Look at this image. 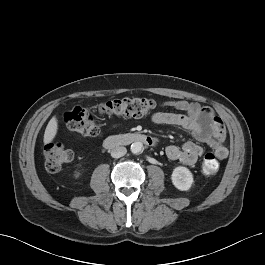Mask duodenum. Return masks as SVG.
<instances>
[{"label":"duodenum","mask_w":265,"mask_h":265,"mask_svg":"<svg viewBox=\"0 0 265 265\" xmlns=\"http://www.w3.org/2000/svg\"><path fill=\"white\" fill-rule=\"evenodd\" d=\"M133 143H144L146 145H156L155 138L142 133H127L122 135L109 136L104 140V147L106 149H113L119 146H126Z\"/></svg>","instance_id":"duodenum-1"}]
</instances>
